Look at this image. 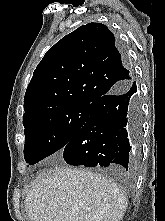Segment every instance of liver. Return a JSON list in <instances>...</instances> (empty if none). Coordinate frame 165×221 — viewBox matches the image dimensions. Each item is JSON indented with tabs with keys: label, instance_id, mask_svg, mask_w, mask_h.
<instances>
[{
	"label": "liver",
	"instance_id": "6515ba94",
	"mask_svg": "<svg viewBox=\"0 0 165 221\" xmlns=\"http://www.w3.org/2000/svg\"><path fill=\"white\" fill-rule=\"evenodd\" d=\"M127 206L106 176L60 166L39 174L25 199L30 221H120Z\"/></svg>",
	"mask_w": 165,
	"mask_h": 221
}]
</instances>
